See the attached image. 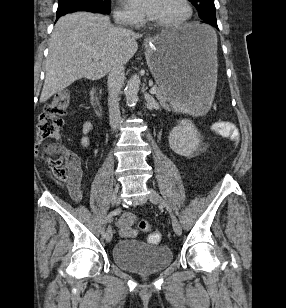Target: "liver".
I'll return each instance as SVG.
<instances>
[{"label":"liver","instance_id":"1","mask_svg":"<svg viewBox=\"0 0 286 308\" xmlns=\"http://www.w3.org/2000/svg\"><path fill=\"white\" fill-rule=\"evenodd\" d=\"M141 36L114 27L109 17L101 14L77 12L61 17L49 40L40 102L76 80H98L115 63L126 64L136 53V40ZM92 50L100 54V59H93Z\"/></svg>","mask_w":286,"mask_h":308}]
</instances>
